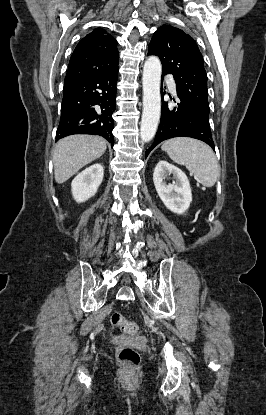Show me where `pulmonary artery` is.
Masks as SVG:
<instances>
[{"mask_svg": "<svg viewBox=\"0 0 266 415\" xmlns=\"http://www.w3.org/2000/svg\"><path fill=\"white\" fill-rule=\"evenodd\" d=\"M168 86L171 90H175V83L172 80H168Z\"/></svg>", "mask_w": 266, "mask_h": 415, "instance_id": "pulmonary-artery-1", "label": "pulmonary artery"}]
</instances>
